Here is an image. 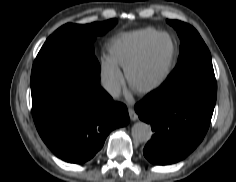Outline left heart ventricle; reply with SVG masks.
Segmentation results:
<instances>
[{"instance_id": "1", "label": "left heart ventricle", "mask_w": 236, "mask_h": 182, "mask_svg": "<svg viewBox=\"0 0 236 182\" xmlns=\"http://www.w3.org/2000/svg\"><path fill=\"white\" fill-rule=\"evenodd\" d=\"M171 55L169 39L160 37L154 44L147 58L134 69L132 81L139 86L157 80L166 69Z\"/></svg>"}]
</instances>
